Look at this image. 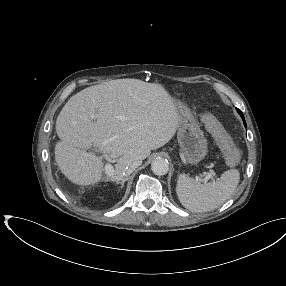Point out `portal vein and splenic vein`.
Masks as SVG:
<instances>
[{
    "instance_id": "portal-vein-and-splenic-vein-1",
    "label": "portal vein and splenic vein",
    "mask_w": 286,
    "mask_h": 286,
    "mask_svg": "<svg viewBox=\"0 0 286 286\" xmlns=\"http://www.w3.org/2000/svg\"><path fill=\"white\" fill-rule=\"evenodd\" d=\"M105 172L109 176L113 175L114 167L111 164L107 163L105 165ZM214 175L215 173L212 170H210V172L207 173L206 177L202 181L207 182L209 179H212Z\"/></svg>"
}]
</instances>
